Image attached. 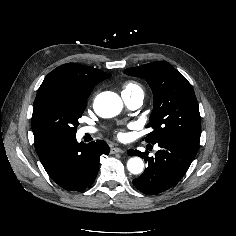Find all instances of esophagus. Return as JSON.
I'll use <instances>...</instances> for the list:
<instances>
[{
    "label": "esophagus",
    "mask_w": 236,
    "mask_h": 236,
    "mask_svg": "<svg viewBox=\"0 0 236 236\" xmlns=\"http://www.w3.org/2000/svg\"><path fill=\"white\" fill-rule=\"evenodd\" d=\"M124 152H125L124 149H121V148H118V147H112L110 149V154L124 153Z\"/></svg>",
    "instance_id": "34e87169"
}]
</instances>
